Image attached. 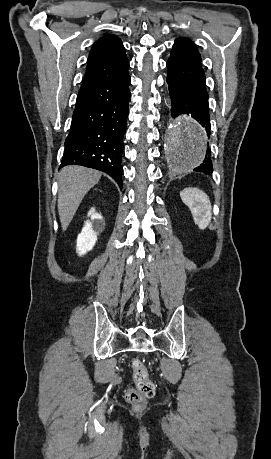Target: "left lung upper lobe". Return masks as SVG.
<instances>
[{
    "instance_id": "obj_1",
    "label": "left lung upper lobe",
    "mask_w": 271,
    "mask_h": 459,
    "mask_svg": "<svg viewBox=\"0 0 271 459\" xmlns=\"http://www.w3.org/2000/svg\"><path fill=\"white\" fill-rule=\"evenodd\" d=\"M169 59L201 66V56L194 43L187 37L175 40Z\"/></svg>"
}]
</instances>
